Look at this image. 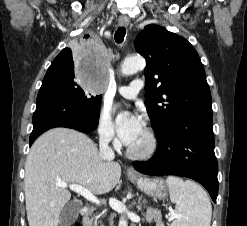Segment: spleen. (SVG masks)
I'll use <instances>...</instances> for the list:
<instances>
[{
	"instance_id": "obj_1",
	"label": "spleen",
	"mask_w": 247,
	"mask_h": 226,
	"mask_svg": "<svg viewBox=\"0 0 247 226\" xmlns=\"http://www.w3.org/2000/svg\"><path fill=\"white\" fill-rule=\"evenodd\" d=\"M170 200L180 215L171 226H210L212 207L206 192L196 183L169 176Z\"/></svg>"
}]
</instances>
